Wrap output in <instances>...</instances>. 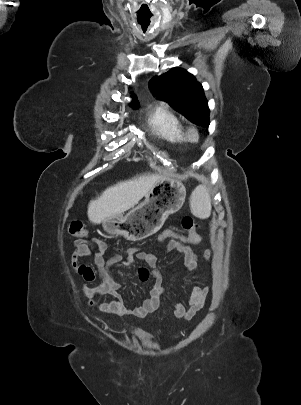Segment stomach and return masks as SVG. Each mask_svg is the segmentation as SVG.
<instances>
[{
    "instance_id": "obj_1",
    "label": "stomach",
    "mask_w": 301,
    "mask_h": 405,
    "mask_svg": "<svg viewBox=\"0 0 301 405\" xmlns=\"http://www.w3.org/2000/svg\"><path fill=\"white\" fill-rule=\"evenodd\" d=\"M185 198L182 182L163 178L151 188L143 203L125 216L122 214L103 222L104 228L130 241L145 239L156 233L170 214L181 209Z\"/></svg>"
}]
</instances>
